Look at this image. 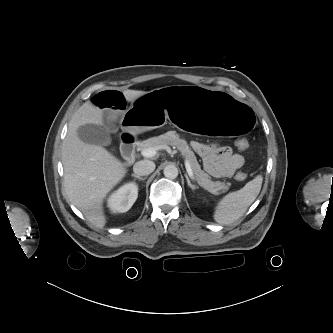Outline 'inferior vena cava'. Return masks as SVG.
<instances>
[{
	"mask_svg": "<svg viewBox=\"0 0 333 333\" xmlns=\"http://www.w3.org/2000/svg\"><path fill=\"white\" fill-rule=\"evenodd\" d=\"M155 170V163L150 160L138 161L133 166V171L139 176H147Z\"/></svg>",
	"mask_w": 333,
	"mask_h": 333,
	"instance_id": "obj_1",
	"label": "inferior vena cava"
}]
</instances>
